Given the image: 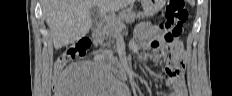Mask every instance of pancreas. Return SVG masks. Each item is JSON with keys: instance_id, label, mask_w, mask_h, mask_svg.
Here are the masks:
<instances>
[{"instance_id": "cf45deb5", "label": "pancreas", "mask_w": 232, "mask_h": 96, "mask_svg": "<svg viewBox=\"0 0 232 96\" xmlns=\"http://www.w3.org/2000/svg\"><path fill=\"white\" fill-rule=\"evenodd\" d=\"M145 16V13H134L131 8L122 10L118 15H111L97 39V43L102 46H110L114 43V39L126 28L125 23H131L135 19H140ZM105 39H109V42L104 43Z\"/></svg>"}]
</instances>
